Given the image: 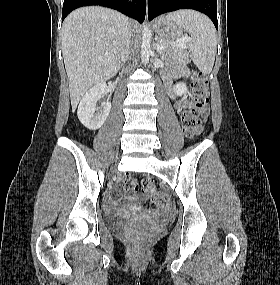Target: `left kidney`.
Returning <instances> with one entry per match:
<instances>
[{"label":"left kidney","instance_id":"left-kidney-1","mask_svg":"<svg viewBox=\"0 0 280 285\" xmlns=\"http://www.w3.org/2000/svg\"><path fill=\"white\" fill-rule=\"evenodd\" d=\"M173 90L175 92V94L177 96H182L183 94L186 93V84L185 83H177L174 87H173Z\"/></svg>","mask_w":280,"mask_h":285}]
</instances>
